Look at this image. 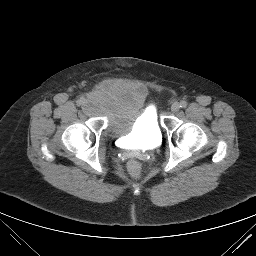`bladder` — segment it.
Segmentation results:
<instances>
[{"label":"bladder","instance_id":"bladder-1","mask_svg":"<svg viewBox=\"0 0 256 256\" xmlns=\"http://www.w3.org/2000/svg\"><path fill=\"white\" fill-rule=\"evenodd\" d=\"M90 104L106 115L108 130L126 142L141 147H151L160 142L162 129L153 104L147 100L142 86L120 84L94 91Z\"/></svg>","mask_w":256,"mask_h":256}]
</instances>
